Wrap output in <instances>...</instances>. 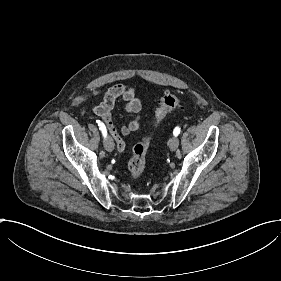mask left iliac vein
Segmentation results:
<instances>
[{
    "instance_id": "1",
    "label": "left iliac vein",
    "mask_w": 281,
    "mask_h": 281,
    "mask_svg": "<svg viewBox=\"0 0 281 281\" xmlns=\"http://www.w3.org/2000/svg\"><path fill=\"white\" fill-rule=\"evenodd\" d=\"M169 148L176 149L179 146V140L176 137L171 138V140L168 143Z\"/></svg>"
}]
</instances>
